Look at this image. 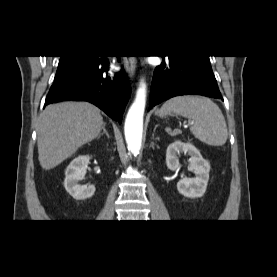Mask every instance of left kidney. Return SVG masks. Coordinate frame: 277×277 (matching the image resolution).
<instances>
[{
	"label": "left kidney",
	"instance_id": "1",
	"mask_svg": "<svg viewBox=\"0 0 277 277\" xmlns=\"http://www.w3.org/2000/svg\"><path fill=\"white\" fill-rule=\"evenodd\" d=\"M182 152L190 155L188 170L193 172L195 177L179 180L177 190L188 198L202 197L207 188L210 165L195 146L177 140L167 147L166 165L168 169L176 171L180 168L178 155Z\"/></svg>",
	"mask_w": 277,
	"mask_h": 277
}]
</instances>
